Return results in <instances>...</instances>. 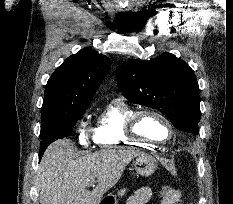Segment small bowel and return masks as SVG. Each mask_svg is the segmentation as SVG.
Listing matches in <instances>:
<instances>
[{"instance_id":"1","label":"small bowel","mask_w":233,"mask_h":204,"mask_svg":"<svg viewBox=\"0 0 233 204\" xmlns=\"http://www.w3.org/2000/svg\"><path fill=\"white\" fill-rule=\"evenodd\" d=\"M178 192H180L181 194V199H180V203L182 200V193L181 191L178 190ZM151 190L148 187H141L138 190H136L127 200L126 204H145L147 203L150 198H151ZM179 203V204H180Z\"/></svg>"}]
</instances>
